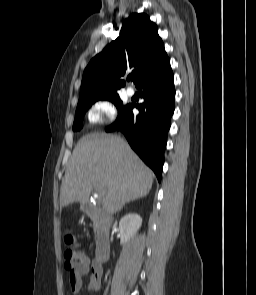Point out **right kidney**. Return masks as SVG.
<instances>
[{"mask_svg": "<svg viewBox=\"0 0 256 295\" xmlns=\"http://www.w3.org/2000/svg\"><path fill=\"white\" fill-rule=\"evenodd\" d=\"M142 224V218L136 213H129L121 218L119 222V231L121 235V244L126 243L139 230Z\"/></svg>", "mask_w": 256, "mask_h": 295, "instance_id": "1", "label": "right kidney"}]
</instances>
